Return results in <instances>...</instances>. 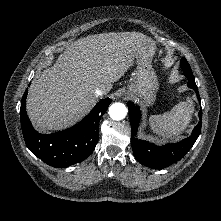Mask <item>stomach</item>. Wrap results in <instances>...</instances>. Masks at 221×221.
<instances>
[{"label": "stomach", "mask_w": 221, "mask_h": 221, "mask_svg": "<svg viewBox=\"0 0 221 221\" xmlns=\"http://www.w3.org/2000/svg\"><path fill=\"white\" fill-rule=\"evenodd\" d=\"M143 48L145 54L138 53L137 67L132 73L126 90H124V95L141 99L146 105H151L155 101L159 87L156 73L151 64L155 45L150 42L144 45ZM148 54H150L149 57H147Z\"/></svg>", "instance_id": "stomach-1"}]
</instances>
